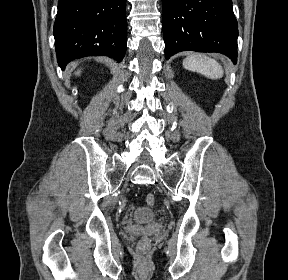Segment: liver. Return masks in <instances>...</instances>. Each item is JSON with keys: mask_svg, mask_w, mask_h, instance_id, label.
I'll use <instances>...</instances> for the list:
<instances>
[{"mask_svg": "<svg viewBox=\"0 0 288 280\" xmlns=\"http://www.w3.org/2000/svg\"><path fill=\"white\" fill-rule=\"evenodd\" d=\"M79 74H80V70L76 72V75H79Z\"/></svg>", "mask_w": 288, "mask_h": 280, "instance_id": "obj_1", "label": "liver"}]
</instances>
